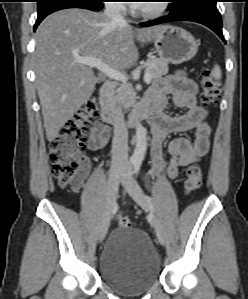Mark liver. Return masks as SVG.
<instances>
[{"label":"liver","instance_id":"obj_1","mask_svg":"<svg viewBox=\"0 0 248 299\" xmlns=\"http://www.w3.org/2000/svg\"><path fill=\"white\" fill-rule=\"evenodd\" d=\"M162 28L134 30L114 24L104 14L77 8L46 17L36 32L34 67L47 140L58 136L102 79L78 57L98 58L117 71L130 68L139 57L134 40L149 42Z\"/></svg>","mask_w":248,"mask_h":299}]
</instances>
